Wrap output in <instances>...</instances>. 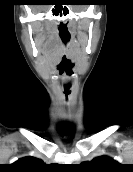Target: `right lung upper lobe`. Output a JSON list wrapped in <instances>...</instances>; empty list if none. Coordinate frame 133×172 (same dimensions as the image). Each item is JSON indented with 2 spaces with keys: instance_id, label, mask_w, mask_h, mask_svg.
Listing matches in <instances>:
<instances>
[{
  "instance_id": "obj_1",
  "label": "right lung upper lobe",
  "mask_w": 133,
  "mask_h": 172,
  "mask_svg": "<svg viewBox=\"0 0 133 172\" xmlns=\"http://www.w3.org/2000/svg\"><path fill=\"white\" fill-rule=\"evenodd\" d=\"M44 166L45 164L42 160L28 156L14 162L11 168L20 172H40L44 169Z\"/></svg>"
}]
</instances>
